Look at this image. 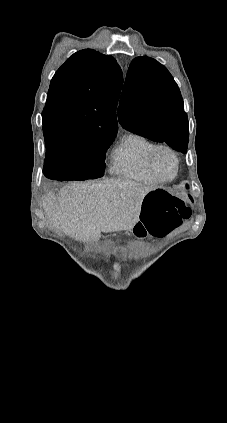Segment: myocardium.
Listing matches in <instances>:
<instances>
[{
    "label": "myocardium",
    "instance_id": "obj_1",
    "mask_svg": "<svg viewBox=\"0 0 227 423\" xmlns=\"http://www.w3.org/2000/svg\"><path fill=\"white\" fill-rule=\"evenodd\" d=\"M159 150H165L168 153H170L175 161L176 169H175L174 175L171 178H164L155 167L154 156L156 152ZM146 163L149 170L153 173V175L156 178L160 179L162 182H170L174 180L177 177L180 170V159H179L178 153L172 147L168 145H162V144L154 145L147 153Z\"/></svg>",
    "mask_w": 227,
    "mask_h": 423
}]
</instances>
